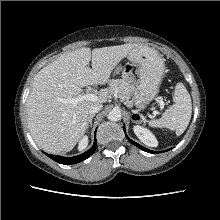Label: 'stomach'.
I'll list each match as a JSON object with an SVG mask.
<instances>
[{"instance_id":"obj_1","label":"stomach","mask_w":220,"mask_h":220,"mask_svg":"<svg viewBox=\"0 0 220 220\" xmlns=\"http://www.w3.org/2000/svg\"><path fill=\"white\" fill-rule=\"evenodd\" d=\"M128 60L137 67L139 83L133 94L132 101L139 109H144L159 92V87L164 76V61L160 54L148 46H138L132 49L128 55ZM122 71L117 67L114 75Z\"/></svg>"}]
</instances>
